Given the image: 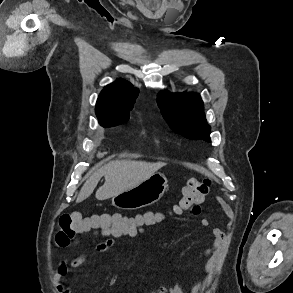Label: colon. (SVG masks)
Here are the masks:
<instances>
[{"label":"colon","instance_id":"1","mask_svg":"<svg viewBox=\"0 0 293 293\" xmlns=\"http://www.w3.org/2000/svg\"><path fill=\"white\" fill-rule=\"evenodd\" d=\"M209 179L191 178L182 188L181 196L174 207L177 214L194 210L202 202L210 189ZM140 222L119 214H101L84 217L79 212H67L60 215L58 230L55 237L57 246H67L83 233L97 231L102 234L121 233L129 231Z\"/></svg>","mask_w":293,"mask_h":293}]
</instances>
